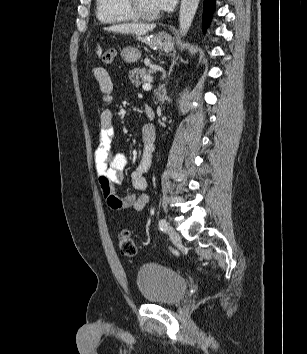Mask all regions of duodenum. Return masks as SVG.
<instances>
[{
    "mask_svg": "<svg viewBox=\"0 0 307 354\" xmlns=\"http://www.w3.org/2000/svg\"><path fill=\"white\" fill-rule=\"evenodd\" d=\"M146 115L148 118H151L153 116V110L150 107L146 109Z\"/></svg>",
    "mask_w": 307,
    "mask_h": 354,
    "instance_id": "410a0bca",
    "label": "duodenum"
}]
</instances>
